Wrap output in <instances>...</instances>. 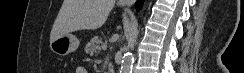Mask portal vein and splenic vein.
Masks as SVG:
<instances>
[{"label": "portal vein and splenic vein", "instance_id": "portal-vein-and-splenic-vein-1", "mask_svg": "<svg viewBox=\"0 0 244 73\" xmlns=\"http://www.w3.org/2000/svg\"><path fill=\"white\" fill-rule=\"evenodd\" d=\"M102 49L105 51L107 49V45H103Z\"/></svg>", "mask_w": 244, "mask_h": 73}]
</instances>
